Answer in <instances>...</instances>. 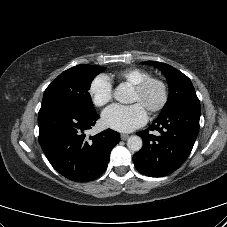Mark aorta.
<instances>
[{"label":"aorta","mask_w":227,"mask_h":227,"mask_svg":"<svg viewBox=\"0 0 227 227\" xmlns=\"http://www.w3.org/2000/svg\"><path fill=\"white\" fill-rule=\"evenodd\" d=\"M114 98L120 103H128L129 88L125 85H119L114 91ZM127 147L134 152L142 148V139L139 136H130L127 140Z\"/></svg>","instance_id":"obj_1"}]
</instances>
